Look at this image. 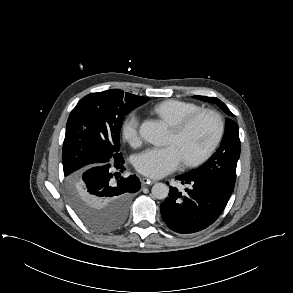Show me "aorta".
<instances>
[{
	"label": "aorta",
	"mask_w": 293,
	"mask_h": 293,
	"mask_svg": "<svg viewBox=\"0 0 293 293\" xmlns=\"http://www.w3.org/2000/svg\"><path fill=\"white\" fill-rule=\"evenodd\" d=\"M139 133L144 140L160 145L166 137L167 128L161 121L146 120L140 125ZM151 192L154 198L163 200L169 194V187L164 183H156Z\"/></svg>",
	"instance_id": "obj_1"
}]
</instances>
